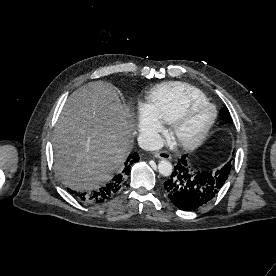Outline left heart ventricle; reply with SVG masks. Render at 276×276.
<instances>
[{
  "instance_id": "b2bd125f",
  "label": "left heart ventricle",
  "mask_w": 276,
  "mask_h": 276,
  "mask_svg": "<svg viewBox=\"0 0 276 276\" xmlns=\"http://www.w3.org/2000/svg\"><path fill=\"white\" fill-rule=\"evenodd\" d=\"M212 117V109L204 104L194 107L188 114L180 129V136L184 138L199 134Z\"/></svg>"
}]
</instances>
